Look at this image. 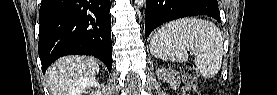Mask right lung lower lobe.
Segmentation results:
<instances>
[{
  "mask_svg": "<svg viewBox=\"0 0 277 95\" xmlns=\"http://www.w3.org/2000/svg\"><path fill=\"white\" fill-rule=\"evenodd\" d=\"M110 0H43L38 52L43 73L66 55H92L112 69Z\"/></svg>",
  "mask_w": 277,
  "mask_h": 95,
  "instance_id": "1",
  "label": "right lung lower lobe"
}]
</instances>
